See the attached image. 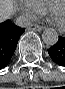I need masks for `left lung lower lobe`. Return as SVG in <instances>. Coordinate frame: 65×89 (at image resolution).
<instances>
[{
	"mask_svg": "<svg viewBox=\"0 0 65 89\" xmlns=\"http://www.w3.org/2000/svg\"><path fill=\"white\" fill-rule=\"evenodd\" d=\"M48 53L55 63L65 67V35L60 37L58 42L48 49Z\"/></svg>",
	"mask_w": 65,
	"mask_h": 89,
	"instance_id": "1",
	"label": "left lung lower lobe"
}]
</instances>
